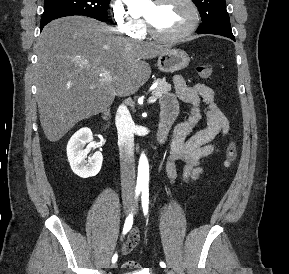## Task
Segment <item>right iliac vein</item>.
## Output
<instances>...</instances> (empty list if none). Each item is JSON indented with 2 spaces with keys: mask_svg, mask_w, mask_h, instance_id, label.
Listing matches in <instances>:
<instances>
[{
  "mask_svg": "<svg viewBox=\"0 0 289 274\" xmlns=\"http://www.w3.org/2000/svg\"><path fill=\"white\" fill-rule=\"evenodd\" d=\"M130 209H131V199L130 198H125L124 199V210H125V213L128 214L130 212ZM116 267H117V264L113 263L110 268H116Z\"/></svg>",
  "mask_w": 289,
  "mask_h": 274,
  "instance_id": "1",
  "label": "right iliac vein"
}]
</instances>
